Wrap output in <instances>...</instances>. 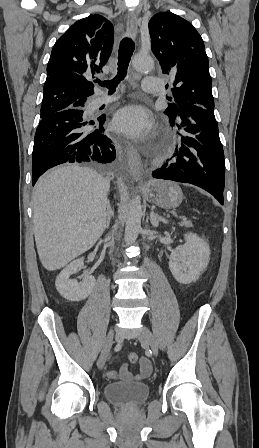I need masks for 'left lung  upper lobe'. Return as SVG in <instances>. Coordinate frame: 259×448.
Segmentation results:
<instances>
[{
	"label": "left lung upper lobe",
	"mask_w": 259,
	"mask_h": 448,
	"mask_svg": "<svg viewBox=\"0 0 259 448\" xmlns=\"http://www.w3.org/2000/svg\"><path fill=\"white\" fill-rule=\"evenodd\" d=\"M149 32L162 72L174 74L173 102L165 110L169 118L191 106L214 110L209 61L197 30L174 13L160 12L149 21Z\"/></svg>",
	"instance_id": "obj_1"
}]
</instances>
